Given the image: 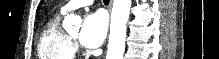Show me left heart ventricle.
<instances>
[{"instance_id": "b2bd125f", "label": "left heart ventricle", "mask_w": 219, "mask_h": 59, "mask_svg": "<svg viewBox=\"0 0 219 59\" xmlns=\"http://www.w3.org/2000/svg\"><path fill=\"white\" fill-rule=\"evenodd\" d=\"M71 36H72V37H75V38H77V36H78V33H77V32H75V33H72V34H71Z\"/></svg>"}]
</instances>
